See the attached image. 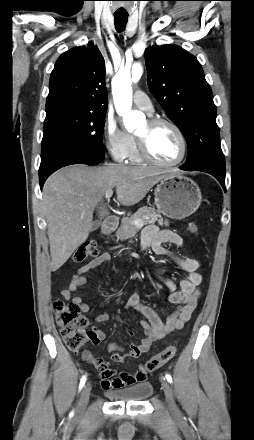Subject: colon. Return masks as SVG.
I'll use <instances>...</instances> for the list:
<instances>
[{
  "instance_id": "1",
  "label": "colon",
  "mask_w": 254,
  "mask_h": 440,
  "mask_svg": "<svg viewBox=\"0 0 254 440\" xmlns=\"http://www.w3.org/2000/svg\"><path fill=\"white\" fill-rule=\"evenodd\" d=\"M188 231L194 235L199 233L198 225L191 222ZM98 255V248L94 242L81 244L73 253L74 262H84L90 257ZM56 322L60 328V333L64 343L70 350H79L93 337V331L88 329V320L82 316L78 306L72 302L56 300L54 302ZM177 347L172 344L157 355L151 357L145 363V370L153 372L171 360L176 354Z\"/></svg>"
}]
</instances>
